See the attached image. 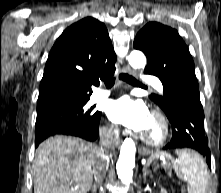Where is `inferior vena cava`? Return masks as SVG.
<instances>
[{
  "label": "inferior vena cava",
  "instance_id": "obj_1",
  "mask_svg": "<svg viewBox=\"0 0 221 193\" xmlns=\"http://www.w3.org/2000/svg\"><path fill=\"white\" fill-rule=\"evenodd\" d=\"M118 137L117 130L111 127L108 130H104L100 134V153L96 164L93 166V175L96 186H100L105 177L106 171L109 165V158L105 153L106 149L112 148L114 142Z\"/></svg>",
  "mask_w": 221,
  "mask_h": 193
}]
</instances>
